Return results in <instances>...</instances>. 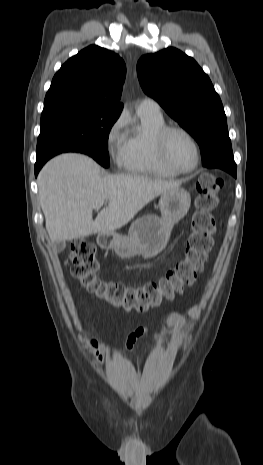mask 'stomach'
Here are the masks:
<instances>
[{"instance_id":"1","label":"stomach","mask_w":263,"mask_h":465,"mask_svg":"<svg viewBox=\"0 0 263 465\" xmlns=\"http://www.w3.org/2000/svg\"><path fill=\"white\" fill-rule=\"evenodd\" d=\"M190 194L178 187L161 194L159 207L161 217L146 215L130 226L127 236L117 233H99L98 245L112 249L121 258L142 255L151 258L159 254L167 245L173 226L188 212Z\"/></svg>"}]
</instances>
